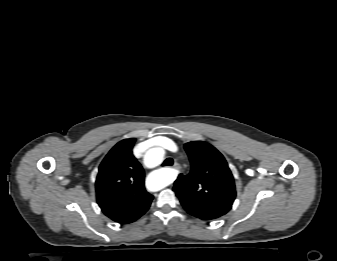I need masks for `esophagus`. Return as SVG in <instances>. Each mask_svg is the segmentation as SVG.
<instances>
[{
    "label": "esophagus",
    "mask_w": 337,
    "mask_h": 261,
    "mask_svg": "<svg viewBox=\"0 0 337 261\" xmlns=\"http://www.w3.org/2000/svg\"><path fill=\"white\" fill-rule=\"evenodd\" d=\"M173 167H174V168H178L179 166H178L177 163H175Z\"/></svg>",
    "instance_id": "obj_1"
}]
</instances>
